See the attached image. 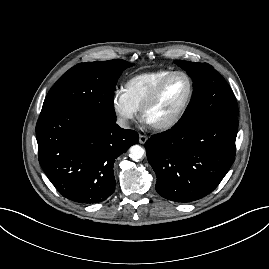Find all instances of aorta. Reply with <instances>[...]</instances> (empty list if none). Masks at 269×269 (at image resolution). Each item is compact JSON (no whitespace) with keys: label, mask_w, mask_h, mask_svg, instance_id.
Segmentation results:
<instances>
[{"label":"aorta","mask_w":269,"mask_h":269,"mask_svg":"<svg viewBox=\"0 0 269 269\" xmlns=\"http://www.w3.org/2000/svg\"><path fill=\"white\" fill-rule=\"evenodd\" d=\"M129 152V157L134 161H138L139 159H141L145 153L144 149L139 145H133L129 149Z\"/></svg>","instance_id":"obj_1"}]
</instances>
